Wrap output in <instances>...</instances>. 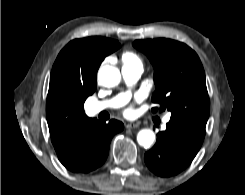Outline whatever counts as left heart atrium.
Returning a JSON list of instances; mask_svg holds the SVG:
<instances>
[{
	"label": "left heart atrium",
	"instance_id": "39dd6f15",
	"mask_svg": "<svg viewBox=\"0 0 245 195\" xmlns=\"http://www.w3.org/2000/svg\"><path fill=\"white\" fill-rule=\"evenodd\" d=\"M125 113H126L127 115H130V114L132 113V109H131V108L127 109Z\"/></svg>",
	"mask_w": 245,
	"mask_h": 195
}]
</instances>
